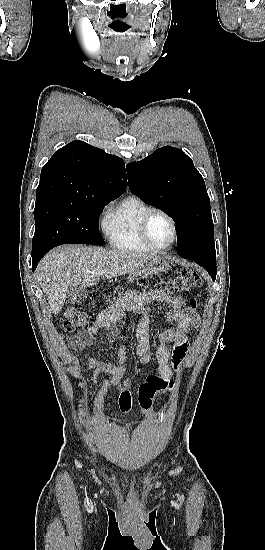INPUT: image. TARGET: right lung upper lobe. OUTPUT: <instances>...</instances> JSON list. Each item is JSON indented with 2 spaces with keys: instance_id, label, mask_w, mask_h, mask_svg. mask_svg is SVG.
<instances>
[{
  "instance_id": "right-lung-upper-lobe-1",
  "label": "right lung upper lobe",
  "mask_w": 265,
  "mask_h": 550,
  "mask_svg": "<svg viewBox=\"0 0 265 550\" xmlns=\"http://www.w3.org/2000/svg\"><path fill=\"white\" fill-rule=\"evenodd\" d=\"M126 187L121 158L75 140L57 150L43 166L36 197L117 198Z\"/></svg>"
}]
</instances>
